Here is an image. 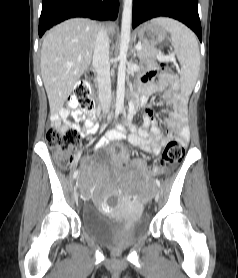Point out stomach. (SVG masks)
Wrapping results in <instances>:
<instances>
[{
    "label": "stomach",
    "mask_w": 238,
    "mask_h": 278,
    "mask_svg": "<svg viewBox=\"0 0 238 278\" xmlns=\"http://www.w3.org/2000/svg\"><path fill=\"white\" fill-rule=\"evenodd\" d=\"M139 40L147 45L155 47L162 44L168 37V32L154 21L144 23L137 29Z\"/></svg>",
    "instance_id": "stomach-1"
}]
</instances>
